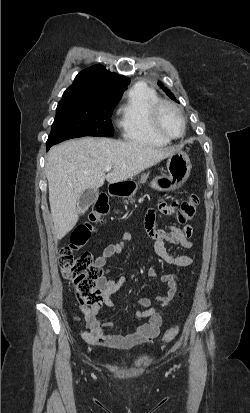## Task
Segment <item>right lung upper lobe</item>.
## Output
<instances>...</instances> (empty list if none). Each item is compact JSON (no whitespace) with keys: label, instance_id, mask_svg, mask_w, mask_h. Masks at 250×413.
I'll list each match as a JSON object with an SVG mask.
<instances>
[{"label":"right lung upper lobe","instance_id":"cb5924a9","mask_svg":"<svg viewBox=\"0 0 250 413\" xmlns=\"http://www.w3.org/2000/svg\"><path fill=\"white\" fill-rule=\"evenodd\" d=\"M128 84V78L111 73L104 66L98 64L81 71L68 89H83L122 95Z\"/></svg>","mask_w":250,"mask_h":413}]
</instances>
